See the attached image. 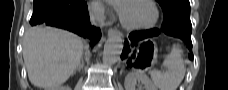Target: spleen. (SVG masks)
<instances>
[{
  "label": "spleen",
  "instance_id": "3e777b00",
  "mask_svg": "<svg viewBox=\"0 0 228 90\" xmlns=\"http://www.w3.org/2000/svg\"><path fill=\"white\" fill-rule=\"evenodd\" d=\"M162 65L167 70L165 72L152 70L150 72L152 82L159 90H177L186 71L181 49L173 46Z\"/></svg>",
  "mask_w": 228,
  "mask_h": 90
}]
</instances>
